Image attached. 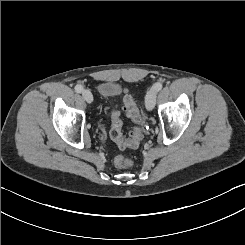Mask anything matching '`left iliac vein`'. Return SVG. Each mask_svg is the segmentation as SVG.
<instances>
[{
    "label": "left iliac vein",
    "mask_w": 245,
    "mask_h": 245,
    "mask_svg": "<svg viewBox=\"0 0 245 245\" xmlns=\"http://www.w3.org/2000/svg\"><path fill=\"white\" fill-rule=\"evenodd\" d=\"M157 91L152 88L147 92L145 105L147 110H152L155 107Z\"/></svg>",
    "instance_id": "1"
}]
</instances>
